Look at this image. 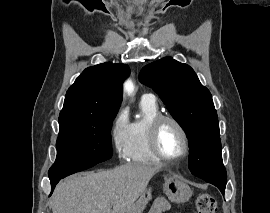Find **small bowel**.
<instances>
[{"label": "small bowel", "mask_w": 270, "mask_h": 213, "mask_svg": "<svg viewBox=\"0 0 270 213\" xmlns=\"http://www.w3.org/2000/svg\"><path fill=\"white\" fill-rule=\"evenodd\" d=\"M168 203L164 200L158 199L152 205L150 213H164L168 208Z\"/></svg>", "instance_id": "obj_1"}]
</instances>
